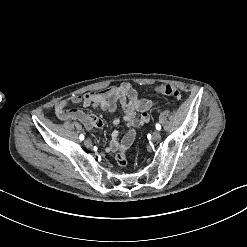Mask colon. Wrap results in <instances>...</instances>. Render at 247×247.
<instances>
[{"mask_svg": "<svg viewBox=\"0 0 247 247\" xmlns=\"http://www.w3.org/2000/svg\"><path fill=\"white\" fill-rule=\"evenodd\" d=\"M145 91L153 92L165 96H170L175 99L182 98V91L171 84H158L145 87Z\"/></svg>", "mask_w": 247, "mask_h": 247, "instance_id": "colon-1", "label": "colon"}]
</instances>
